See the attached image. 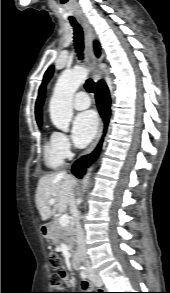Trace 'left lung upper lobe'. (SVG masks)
<instances>
[{"mask_svg":"<svg viewBox=\"0 0 170 293\" xmlns=\"http://www.w3.org/2000/svg\"><path fill=\"white\" fill-rule=\"evenodd\" d=\"M53 70H54V67L51 66L45 73L44 75V79H43V83L40 87V91L43 89V87L45 86V84L48 82V80L50 79V77L52 76L53 74Z\"/></svg>","mask_w":170,"mask_h":293,"instance_id":"1","label":"left lung upper lobe"}]
</instances>
